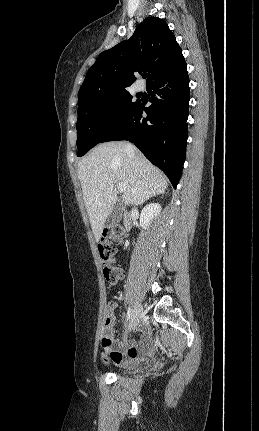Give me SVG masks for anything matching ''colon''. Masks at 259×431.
Listing matches in <instances>:
<instances>
[{
    "label": "colon",
    "mask_w": 259,
    "mask_h": 431,
    "mask_svg": "<svg viewBox=\"0 0 259 431\" xmlns=\"http://www.w3.org/2000/svg\"><path fill=\"white\" fill-rule=\"evenodd\" d=\"M124 240V230L120 226H110L104 229L102 239L98 244V251L103 265V275L109 285L117 284L123 278V270L116 264L117 249L114 244H121ZM110 344L106 333L102 338V345Z\"/></svg>",
    "instance_id": "1"
}]
</instances>
